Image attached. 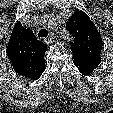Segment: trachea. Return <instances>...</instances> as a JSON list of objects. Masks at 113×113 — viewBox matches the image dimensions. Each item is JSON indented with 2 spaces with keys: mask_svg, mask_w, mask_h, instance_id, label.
Segmentation results:
<instances>
[{
  "mask_svg": "<svg viewBox=\"0 0 113 113\" xmlns=\"http://www.w3.org/2000/svg\"><path fill=\"white\" fill-rule=\"evenodd\" d=\"M47 36H48V31L46 29H41L38 33L39 38L41 37L47 38Z\"/></svg>",
  "mask_w": 113,
  "mask_h": 113,
  "instance_id": "obj_1",
  "label": "trachea"
}]
</instances>
